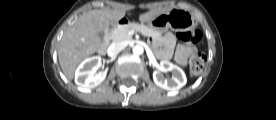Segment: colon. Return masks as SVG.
I'll return each mask as SVG.
<instances>
[{"label":"colon","mask_w":276,"mask_h":120,"mask_svg":"<svg viewBox=\"0 0 276 120\" xmlns=\"http://www.w3.org/2000/svg\"><path fill=\"white\" fill-rule=\"evenodd\" d=\"M177 38L183 43H198L202 38V33L193 29L187 32H179ZM206 63V54L204 50H199L195 55L192 56L189 62V72L192 76L199 75L205 66Z\"/></svg>","instance_id":"colon-1"}]
</instances>
